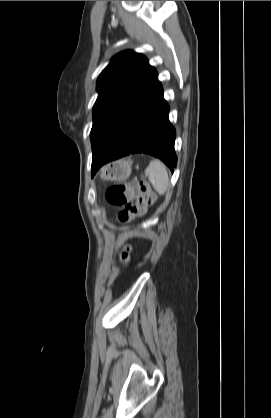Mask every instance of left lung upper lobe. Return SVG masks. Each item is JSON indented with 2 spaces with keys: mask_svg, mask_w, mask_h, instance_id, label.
<instances>
[{
  "mask_svg": "<svg viewBox=\"0 0 271 418\" xmlns=\"http://www.w3.org/2000/svg\"><path fill=\"white\" fill-rule=\"evenodd\" d=\"M157 71L142 54L124 51L116 55L97 80L90 133L93 156L101 145L157 82Z\"/></svg>",
  "mask_w": 271,
  "mask_h": 418,
  "instance_id": "1",
  "label": "left lung upper lobe"
}]
</instances>
